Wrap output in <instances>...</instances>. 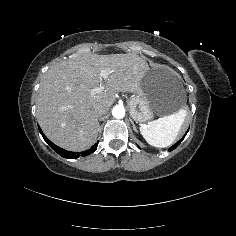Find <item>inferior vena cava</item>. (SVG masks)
<instances>
[{"mask_svg":"<svg viewBox=\"0 0 236 236\" xmlns=\"http://www.w3.org/2000/svg\"><path fill=\"white\" fill-rule=\"evenodd\" d=\"M104 113H103V111L102 110H100V109H97L96 110V116L97 117H100V116H102Z\"/></svg>","mask_w":236,"mask_h":236,"instance_id":"602c4592","label":"inferior vena cava"}]
</instances>
